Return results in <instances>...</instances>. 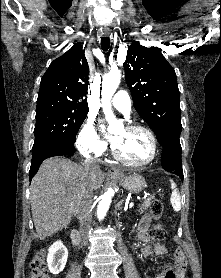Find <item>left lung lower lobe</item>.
I'll return each mask as SVG.
<instances>
[{
    "mask_svg": "<svg viewBox=\"0 0 221 278\" xmlns=\"http://www.w3.org/2000/svg\"><path fill=\"white\" fill-rule=\"evenodd\" d=\"M161 164L166 171L179 175L183 179L180 143L167 144L163 147Z\"/></svg>",
    "mask_w": 221,
    "mask_h": 278,
    "instance_id": "0a47b994",
    "label": "left lung lower lobe"
}]
</instances>
